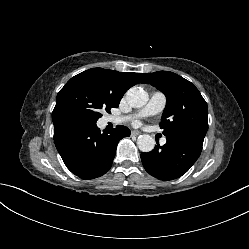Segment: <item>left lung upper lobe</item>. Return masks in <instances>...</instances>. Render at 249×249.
<instances>
[{
	"instance_id": "5c2ea615",
	"label": "left lung upper lobe",
	"mask_w": 249,
	"mask_h": 249,
	"mask_svg": "<svg viewBox=\"0 0 249 249\" xmlns=\"http://www.w3.org/2000/svg\"><path fill=\"white\" fill-rule=\"evenodd\" d=\"M151 84L166 96L161 128L166 137L190 134L204 138L208 130L207 103L188 80L168 71L145 74Z\"/></svg>"
}]
</instances>
